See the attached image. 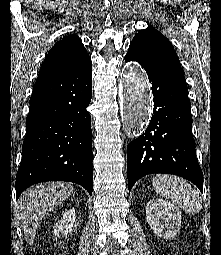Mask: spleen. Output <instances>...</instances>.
<instances>
[{
  "label": "spleen",
  "mask_w": 221,
  "mask_h": 255,
  "mask_svg": "<svg viewBox=\"0 0 221 255\" xmlns=\"http://www.w3.org/2000/svg\"><path fill=\"white\" fill-rule=\"evenodd\" d=\"M156 193L162 195L187 213L196 214L202 208L200 193L186 180L177 176L158 174L152 179Z\"/></svg>",
  "instance_id": "3e777b00"
}]
</instances>
